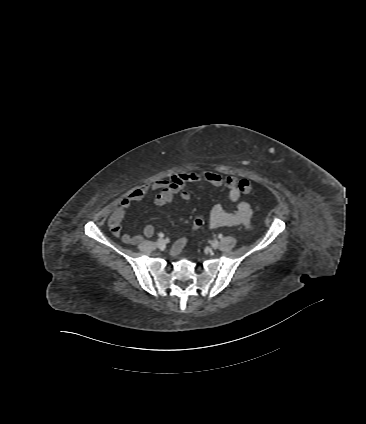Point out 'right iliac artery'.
Listing matches in <instances>:
<instances>
[{
	"mask_svg": "<svg viewBox=\"0 0 366 424\" xmlns=\"http://www.w3.org/2000/svg\"><path fill=\"white\" fill-rule=\"evenodd\" d=\"M159 237H160V238L164 237V234L160 233V234H159Z\"/></svg>",
	"mask_w": 366,
	"mask_h": 424,
	"instance_id": "right-iliac-artery-1",
	"label": "right iliac artery"
}]
</instances>
